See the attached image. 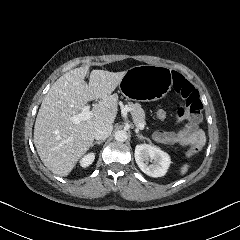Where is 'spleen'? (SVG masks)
<instances>
[{
  "label": "spleen",
  "instance_id": "1",
  "mask_svg": "<svg viewBox=\"0 0 240 240\" xmlns=\"http://www.w3.org/2000/svg\"><path fill=\"white\" fill-rule=\"evenodd\" d=\"M188 168H189V165H188V164H184V165L181 167L180 173H181L182 175H184V174L188 171Z\"/></svg>",
  "mask_w": 240,
  "mask_h": 240
}]
</instances>
